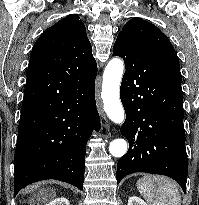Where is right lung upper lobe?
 Masks as SVG:
<instances>
[{"label": "right lung upper lobe", "instance_id": "right-lung-upper-lobe-1", "mask_svg": "<svg viewBox=\"0 0 199 205\" xmlns=\"http://www.w3.org/2000/svg\"><path fill=\"white\" fill-rule=\"evenodd\" d=\"M96 74L97 64L86 28L78 15H68L46 29L32 48L26 85L41 83L43 88L24 91L21 116L56 101L77 82Z\"/></svg>", "mask_w": 199, "mask_h": 205}]
</instances>
